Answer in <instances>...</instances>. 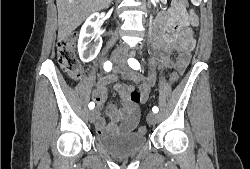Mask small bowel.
I'll list each match as a JSON object with an SVG mask.
<instances>
[{
  "label": "small bowel",
  "instance_id": "obj_1",
  "mask_svg": "<svg viewBox=\"0 0 250 169\" xmlns=\"http://www.w3.org/2000/svg\"><path fill=\"white\" fill-rule=\"evenodd\" d=\"M187 23L192 27L197 26V17L194 14L188 16ZM182 25V17L176 14L173 19V30L178 31ZM194 47L195 41L191 28H188L171 43H165L162 39V32L158 30L154 38V55L150 61L149 75L142 77L133 71L123 73V77L136 84L137 90L141 91L142 98H140L139 102L131 100L130 91L134 88L132 85L122 83L117 72L99 78L93 93V100L98 109L101 110L105 106L108 97L107 86L111 83L115 84V91L119 96L121 107L119 109H115L113 106L109 107L111 122L108 124H106L103 117L98 118L96 122L98 134L130 133L133 131L140 122L139 103H144L149 99L157 73L164 70H173V72H181L182 74L190 61ZM174 53H177V58L173 62L171 57Z\"/></svg>",
  "mask_w": 250,
  "mask_h": 169
}]
</instances>
